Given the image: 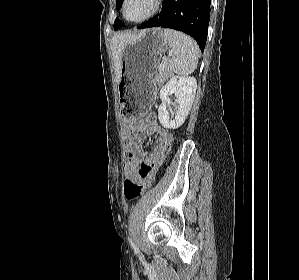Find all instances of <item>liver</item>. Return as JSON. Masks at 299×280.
I'll return each instance as SVG.
<instances>
[{
    "label": "liver",
    "instance_id": "obj_1",
    "mask_svg": "<svg viewBox=\"0 0 299 280\" xmlns=\"http://www.w3.org/2000/svg\"><path fill=\"white\" fill-rule=\"evenodd\" d=\"M137 37V34L131 33H122L114 35L111 40V51H112V59L115 67V75H116V83L120 82L121 75V59H122V51L123 47L126 43L134 40Z\"/></svg>",
    "mask_w": 299,
    "mask_h": 280
}]
</instances>
